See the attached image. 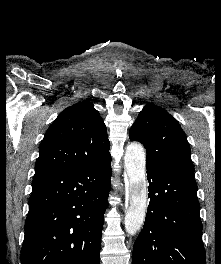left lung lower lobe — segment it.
I'll use <instances>...</instances> for the list:
<instances>
[{
    "instance_id": "0a47b994",
    "label": "left lung lower lobe",
    "mask_w": 221,
    "mask_h": 264,
    "mask_svg": "<svg viewBox=\"0 0 221 264\" xmlns=\"http://www.w3.org/2000/svg\"><path fill=\"white\" fill-rule=\"evenodd\" d=\"M150 198L133 264H205L194 178L146 166Z\"/></svg>"
}]
</instances>
